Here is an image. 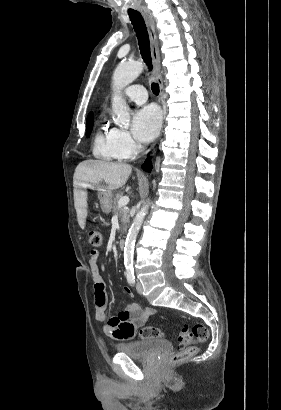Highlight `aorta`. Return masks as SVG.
Masks as SVG:
<instances>
[{"label":"aorta","instance_id":"obj_1","mask_svg":"<svg viewBox=\"0 0 281 410\" xmlns=\"http://www.w3.org/2000/svg\"><path fill=\"white\" fill-rule=\"evenodd\" d=\"M143 64L137 62L120 63L112 77L114 94L112 97L113 120L115 124L127 126L130 121V114L126 102L122 99L121 90L132 83L142 72ZM148 204L143 203L141 209L137 212L126 237L124 245V265L128 274H133V257L134 247L137 235L146 216Z\"/></svg>","mask_w":281,"mask_h":410}]
</instances>
